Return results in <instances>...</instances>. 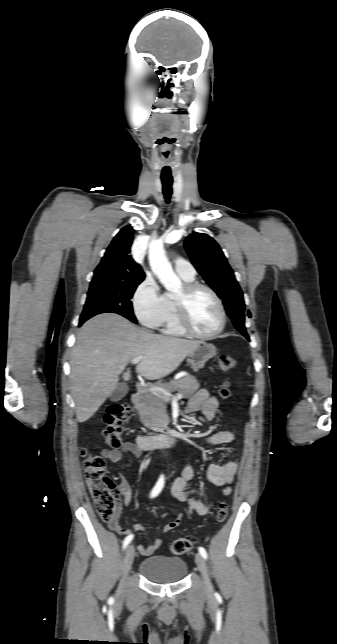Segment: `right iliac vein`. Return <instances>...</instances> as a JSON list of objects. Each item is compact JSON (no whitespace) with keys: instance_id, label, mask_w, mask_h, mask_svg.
<instances>
[{"instance_id":"63e3f726","label":"right iliac vein","mask_w":337,"mask_h":644,"mask_svg":"<svg viewBox=\"0 0 337 644\" xmlns=\"http://www.w3.org/2000/svg\"><path fill=\"white\" fill-rule=\"evenodd\" d=\"M135 556V549L133 545H129L126 549L124 561H123V577L125 578L128 572L130 571ZM124 582L121 583L119 594L122 596L124 594Z\"/></svg>"}]
</instances>
